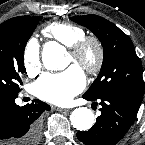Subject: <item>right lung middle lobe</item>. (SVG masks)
<instances>
[{
	"instance_id": "right-lung-middle-lobe-1",
	"label": "right lung middle lobe",
	"mask_w": 145,
	"mask_h": 145,
	"mask_svg": "<svg viewBox=\"0 0 145 145\" xmlns=\"http://www.w3.org/2000/svg\"><path fill=\"white\" fill-rule=\"evenodd\" d=\"M41 19L35 16L16 29L0 32V89L20 91V75L25 72L24 48Z\"/></svg>"
}]
</instances>
